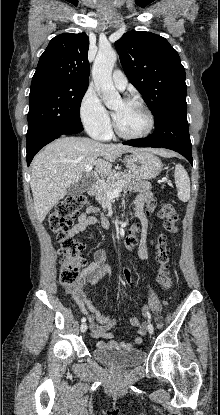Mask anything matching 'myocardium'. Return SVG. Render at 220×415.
I'll return each instance as SVG.
<instances>
[{"label": "myocardium", "instance_id": "myocardium-1", "mask_svg": "<svg viewBox=\"0 0 220 415\" xmlns=\"http://www.w3.org/2000/svg\"><path fill=\"white\" fill-rule=\"evenodd\" d=\"M122 101L124 103H127V104H133V105H137V106L141 107L146 112V114L148 116L149 125L143 133H140V134H127V133H124L119 128V126L117 124V121L114 118L113 128H114L115 133L119 137L124 138V139H129V140L143 139V138L149 136L153 132L154 127H155V116H154V113L152 112V110L149 108V106L145 102H143L142 100L137 99V98H124Z\"/></svg>", "mask_w": 220, "mask_h": 415}]
</instances>
